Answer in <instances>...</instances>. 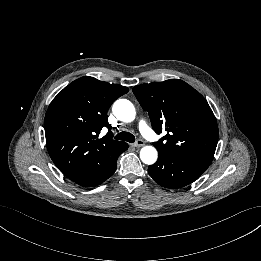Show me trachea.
I'll use <instances>...</instances> for the list:
<instances>
[{"mask_svg":"<svg viewBox=\"0 0 261 261\" xmlns=\"http://www.w3.org/2000/svg\"><path fill=\"white\" fill-rule=\"evenodd\" d=\"M115 139L117 140H122V141H127L129 143H133L135 142V137L133 134L129 133V132H120L115 136Z\"/></svg>","mask_w":261,"mask_h":261,"instance_id":"3493384b","label":"trachea"}]
</instances>
